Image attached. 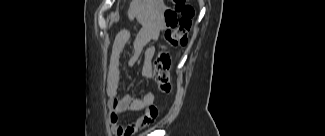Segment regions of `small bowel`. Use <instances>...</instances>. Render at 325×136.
Listing matches in <instances>:
<instances>
[{"label":"small bowel","instance_id":"1","mask_svg":"<svg viewBox=\"0 0 325 136\" xmlns=\"http://www.w3.org/2000/svg\"><path fill=\"white\" fill-rule=\"evenodd\" d=\"M161 28V19L155 16L151 17L144 22L133 40L131 62H136L144 52L142 75L145 79H150L152 76V59L155 53V48L149 46V44L158 39ZM129 39L130 32L128 30H122L117 34L112 46L106 77V95L110 109V122L113 132L117 136H133L150 126L157 116V109L154 106L155 96L152 92H146L142 97L130 94L123 97L118 96L120 57ZM126 111H144V114L135 122L124 126L119 122V115Z\"/></svg>","mask_w":325,"mask_h":136}]
</instances>
